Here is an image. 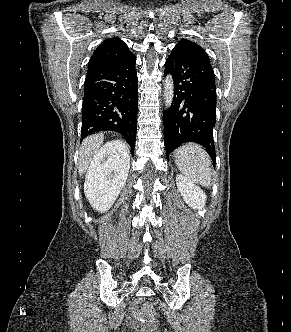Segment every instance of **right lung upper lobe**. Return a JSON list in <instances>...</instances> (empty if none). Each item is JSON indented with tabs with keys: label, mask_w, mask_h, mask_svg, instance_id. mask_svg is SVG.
Returning <instances> with one entry per match:
<instances>
[{
	"label": "right lung upper lobe",
	"mask_w": 291,
	"mask_h": 332,
	"mask_svg": "<svg viewBox=\"0 0 291 332\" xmlns=\"http://www.w3.org/2000/svg\"><path fill=\"white\" fill-rule=\"evenodd\" d=\"M133 56L126 43L118 38H108L97 47L91 56L88 69L118 64Z\"/></svg>",
	"instance_id": "cb5924a9"
}]
</instances>
